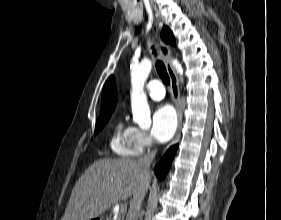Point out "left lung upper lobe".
Segmentation results:
<instances>
[{"instance_id": "obj_1", "label": "left lung upper lobe", "mask_w": 281, "mask_h": 220, "mask_svg": "<svg viewBox=\"0 0 281 220\" xmlns=\"http://www.w3.org/2000/svg\"><path fill=\"white\" fill-rule=\"evenodd\" d=\"M161 36L165 42L174 43V37L171 30L168 27H164L161 32Z\"/></svg>"}]
</instances>
